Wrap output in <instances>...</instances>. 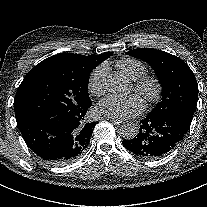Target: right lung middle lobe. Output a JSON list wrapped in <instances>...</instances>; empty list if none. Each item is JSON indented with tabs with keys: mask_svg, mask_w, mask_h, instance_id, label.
I'll list each match as a JSON object with an SVG mask.
<instances>
[{
	"mask_svg": "<svg viewBox=\"0 0 207 207\" xmlns=\"http://www.w3.org/2000/svg\"><path fill=\"white\" fill-rule=\"evenodd\" d=\"M89 75L63 65H36L16 92V121L47 113L64 117L84 113L92 105Z\"/></svg>",
	"mask_w": 207,
	"mask_h": 207,
	"instance_id": "right-lung-middle-lobe-1",
	"label": "right lung middle lobe"
}]
</instances>
